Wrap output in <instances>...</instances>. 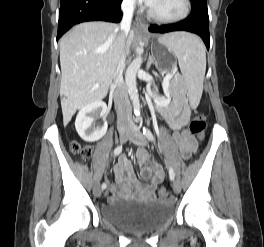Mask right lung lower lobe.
Wrapping results in <instances>:
<instances>
[{
  "label": "right lung lower lobe",
  "mask_w": 264,
  "mask_h": 247,
  "mask_svg": "<svg viewBox=\"0 0 264 247\" xmlns=\"http://www.w3.org/2000/svg\"><path fill=\"white\" fill-rule=\"evenodd\" d=\"M122 0H61L57 40L73 25L87 21L120 22Z\"/></svg>",
  "instance_id": "right-lung-lower-lobe-1"
}]
</instances>
